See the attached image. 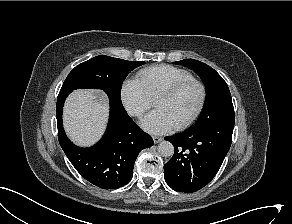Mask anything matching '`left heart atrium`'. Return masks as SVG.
<instances>
[{"label": "left heart atrium", "mask_w": 292, "mask_h": 224, "mask_svg": "<svg viewBox=\"0 0 292 224\" xmlns=\"http://www.w3.org/2000/svg\"><path fill=\"white\" fill-rule=\"evenodd\" d=\"M141 127L151 134H164L175 128V124L162 109H155L141 121Z\"/></svg>", "instance_id": "1"}]
</instances>
